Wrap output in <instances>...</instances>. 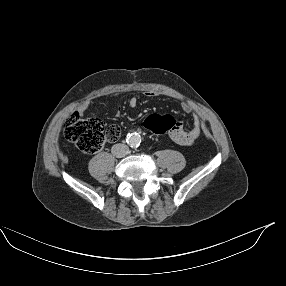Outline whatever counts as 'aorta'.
<instances>
[{
    "label": "aorta",
    "mask_w": 286,
    "mask_h": 286,
    "mask_svg": "<svg viewBox=\"0 0 286 286\" xmlns=\"http://www.w3.org/2000/svg\"><path fill=\"white\" fill-rule=\"evenodd\" d=\"M126 142L130 147H138L141 143V136L138 133H130L127 135Z\"/></svg>",
    "instance_id": "1"
}]
</instances>
